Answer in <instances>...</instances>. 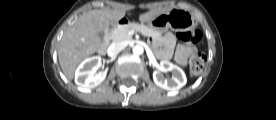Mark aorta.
I'll use <instances>...</instances> for the list:
<instances>
[{
  "label": "aorta",
  "instance_id": "obj_1",
  "mask_svg": "<svg viewBox=\"0 0 276 120\" xmlns=\"http://www.w3.org/2000/svg\"><path fill=\"white\" fill-rule=\"evenodd\" d=\"M132 51H133V54L135 55H142L144 52V48L142 45L137 44L133 46Z\"/></svg>",
  "mask_w": 276,
  "mask_h": 120
}]
</instances>
